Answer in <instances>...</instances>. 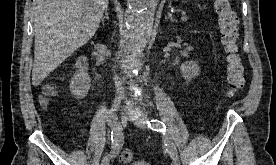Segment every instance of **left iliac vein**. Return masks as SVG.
Listing matches in <instances>:
<instances>
[{"instance_id": "left-iliac-vein-1", "label": "left iliac vein", "mask_w": 276, "mask_h": 165, "mask_svg": "<svg viewBox=\"0 0 276 165\" xmlns=\"http://www.w3.org/2000/svg\"><path fill=\"white\" fill-rule=\"evenodd\" d=\"M134 124L142 129H147V123L144 119L141 118H134ZM171 165H180V161L178 159V157H173L172 158V164Z\"/></svg>"}]
</instances>
